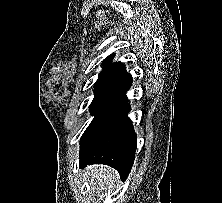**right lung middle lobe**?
<instances>
[{
  "mask_svg": "<svg viewBox=\"0 0 222 203\" xmlns=\"http://www.w3.org/2000/svg\"><path fill=\"white\" fill-rule=\"evenodd\" d=\"M94 92H95V96L90 105V111L92 115L114 97V95L110 93L98 92V91H94Z\"/></svg>",
  "mask_w": 222,
  "mask_h": 203,
  "instance_id": "dd1d6c3e",
  "label": "right lung middle lobe"
}]
</instances>
